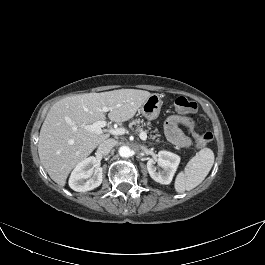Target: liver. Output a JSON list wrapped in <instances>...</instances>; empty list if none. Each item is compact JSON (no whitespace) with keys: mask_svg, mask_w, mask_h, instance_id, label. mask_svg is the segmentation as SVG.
<instances>
[{"mask_svg":"<svg viewBox=\"0 0 265 265\" xmlns=\"http://www.w3.org/2000/svg\"><path fill=\"white\" fill-rule=\"evenodd\" d=\"M152 94L136 89L69 96L49 110L40 130L38 153L49 176L64 186L70 171L109 138L86 129L106 118L102 110L110 108L108 118L116 123L131 119Z\"/></svg>","mask_w":265,"mask_h":265,"instance_id":"1","label":"liver"}]
</instances>
